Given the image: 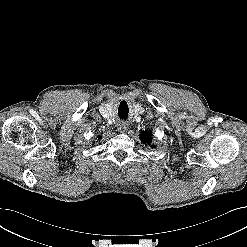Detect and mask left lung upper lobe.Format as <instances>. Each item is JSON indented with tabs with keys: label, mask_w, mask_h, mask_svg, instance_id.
I'll use <instances>...</instances> for the list:
<instances>
[{
	"label": "left lung upper lobe",
	"mask_w": 247,
	"mask_h": 247,
	"mask_svg": "<svg viewBox=\"0 0 247 247\" xmlns=\"http://www.w3.org/2000/svg\"><path fill=\"white\" fill-rule=\"evenodd\" d=\"M141 140L145 143H150L151 142V132L150 131H143L140 134Z\"/></svg>",
	"instance_id": "1"
}]
</instances>
